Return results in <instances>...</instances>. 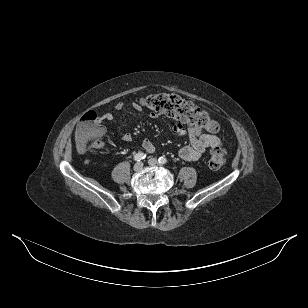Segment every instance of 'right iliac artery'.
<instances>
[{"instance_id":"1","label":"right iliac artery","mask_w":308,"mask_h":308,"mask_svg":"<svg viewBox=\"0 0 308 308\" xmlns=\"http://www.w3.org/2000/svg\"><path fill=\"white\" fill-rule=\"evenodd\" d=\"M145 158H146V154H144V153H142V152H139V153H137V154L134 156V160L137 161V162H139V161H141V160H143V159H145Z\"/></svg>"}]
</instances>
